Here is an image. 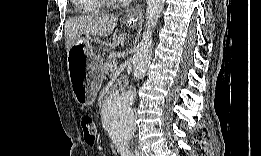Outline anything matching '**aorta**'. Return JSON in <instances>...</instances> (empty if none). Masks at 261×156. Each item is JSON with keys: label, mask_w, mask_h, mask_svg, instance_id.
Here are the masks:
<instances>
[{"label": "aorta", "mask_w": 261, "mask_h": 156, "mask_svg": "<svg viewBox=\"0 0 261 156\" xmlns=\"http://www.w3.org/2000/svg\"><path fill=\"white\" fill-rule=\"evenodd\" d=\"M164 6V0H147L146 22L137 51L133 56V79H142L150 65L153 50V31ZM136 89L130 86L123 93L108 97L102 106V126L115 142L128 143L136 131L135 114L132 104Z\"/></svg>", "instance_id": "1"}]
</instances>
